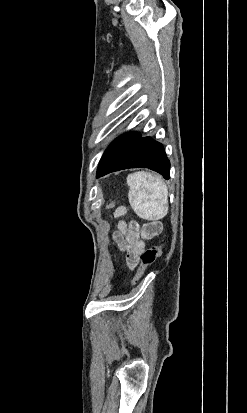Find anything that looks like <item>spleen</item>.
Instances as JSON below:
<instances>
[{
    "instance_id": "3e777b00",
    "label": "spleen",
    "mask_w": 247,
    "mask_h": 413,
    "mask_svg": "<svg viewBox=\"0 0 247 413\" xmlns=\"http://www.w3.org/2000/svg\"><path fill=\"white\" fill-rule=\"evenodd\" d=\"M128 200L137 215H148L149 221L163 219L168 213V186L161 176L145 170L127 176Z\"/></svg>"
}]
</instances>
